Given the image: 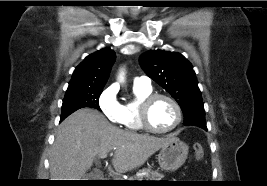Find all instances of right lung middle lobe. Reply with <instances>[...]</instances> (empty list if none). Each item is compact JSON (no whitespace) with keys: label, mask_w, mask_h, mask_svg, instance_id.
Masks as SVG:
<instances>
[{"label":"right lung middle lobe","mask_w":267,"mask_h":186,"mask_svg":"<svg viewBox=\"0 0 267 186\" xmlns=\"http://www.w3.org/2000/svg\"><path fill=\"white\" fill-rule=\"evenodd\" d=\"M102 91V88L67 90L62 104L61 120L80 108L90 107L100 110L99 97Z\"/></svg>","instance_id":"obj_1"}]
</instances>
